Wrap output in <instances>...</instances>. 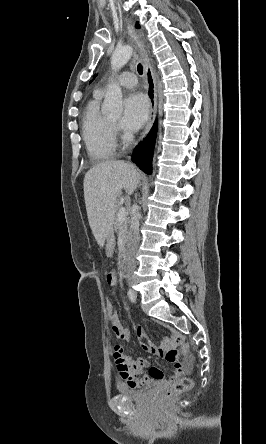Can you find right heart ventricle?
Wrapping results in <instances>:
<instances>
[{
  "label": "right heart ventricle",
  "mask_w": 266,
  "mask_h": 444,
  "mask_svg": "<svg viewBox=\"0 0 266 444\" xmlns=\"http://www.w3.org/2000/svg\"><path fill=\"white\" fill-rule=\"evenodd\" d=\"M101 96V93L95 92L82 119L83 140L88 154L94 160L111 158L117 147L110 119L100 111Z\"/></svg>",
  "instance_id": "obj_1"
}]
</instances>
